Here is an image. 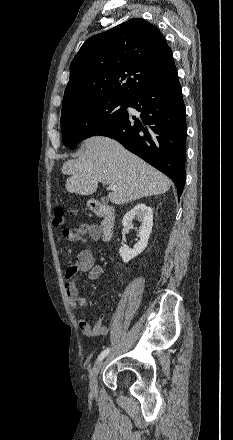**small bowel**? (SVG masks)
Here are the masks:
<instances>
[{
  "mask_svg": "<svg viewBox=\"0 0 233 440\" xmlns=\"http://www.w3.org/2000/svg\"><path fill=\"white\" fill-rule=\"evenodd\" d=\"M63 237L69 242H81L87 244L89 241L96 242L100 239V230L94 223H83L75 229L66 228L62 231ZM104 273L100 264L96 263L93 250L87 246L80 251L74 259V250H67V269L65 272V293L70 307L76 309L78 306L87 309L88 300L83 297L77 288V281L85 275L88 280H97ZM78 326L83 335L89 338H97L107 335L108 326L104 324V316L96 319L91 326L85 319L78 320Z\"/></svg>",
  "mask_w": 233,
  "mask_h": 440,
  "instance_id": "c3829d8e",
  "label": "small bowel"
}]
</instances>
